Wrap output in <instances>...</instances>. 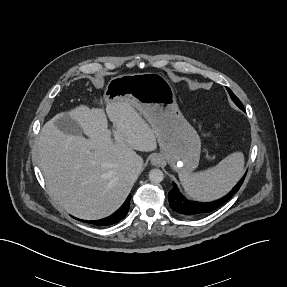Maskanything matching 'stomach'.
<instances>
[{"instance_id": "0dacf381", "label": "stomach", "mask_w": 287, "mask_h": 287, "mask_svg": "<svg viewBox=\"0 0 287 287\" xmlns=\"http://www.w3.org/2000/svg\"><path fill=\"white\" fill-rule=\"evenodd\" d=\"M105 102H128L151 125L160 146V157L176 172L197 168L201 140L176 103L169 81L161 74L147 72L113 77L104 91Z\"/></svg>"}]
</instances>
